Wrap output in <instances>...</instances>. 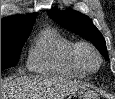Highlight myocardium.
<instances>
[{
	"instance_id": "obj_1",
	"label": "myocardium",
	"mask_w": 115,
	"mask_h": 99,
	"mask_svg": "<svg viewBox=\"0 0 115 99\" xmlns=\"http://www.w3.org/2000/svg\"><path fill=\"white\" fill-rule=\"evenodd\" d=\"M85 52H91L97 59V66L91 68L84 59ZM72 57L77 66L85 73H95L102 65V57L99 51L88 42H77L74 44L72 49Z\"/></svg>"
}]
</instances>
